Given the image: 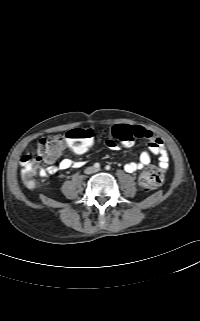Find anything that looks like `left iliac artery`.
<instances>
[{
  "label": "left iliac artery",
  "instance_id": "left-iliac-artery-1",
  "mask_svg": "<svg viewBox=\"0 0 200 321\" xmlns=\"http://www.w3.org/2000/svg\"><path fill=\"white\" fill-rule=\"evenodd\" d=\"M105 169H106V170H110V166L107 165V166L105 167Z\"/></svg>",
  "mask_w": 200,
  "mask_h": 321
}]
</instances>
